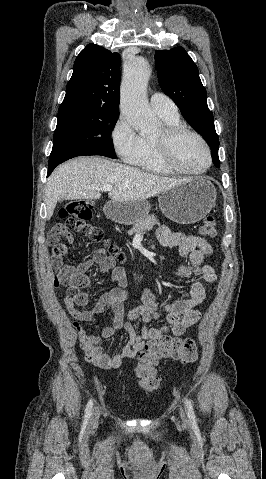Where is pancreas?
I'll use <instances>...</instances> for the list:
<instances>
[{"mask_svg": "<svg viewBox=\"0 0 266 479\" xmlns=\"http://www.w3.org/2000/svg\"><path fill=\"white\" fill-rule=\"evenodd\" d=\"M155 224H159L157 218L154 215H147L142 220H139L133 224V227L128 231L129 234L136 232H144L151 230Z\"/></svg>", "mask_w": 266, "mask_h": 479, "instance_id": "obj_1", "label": "pancreas"}]
</instances>
